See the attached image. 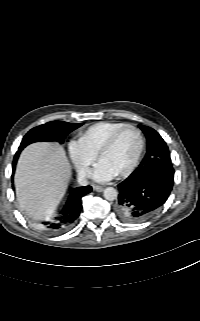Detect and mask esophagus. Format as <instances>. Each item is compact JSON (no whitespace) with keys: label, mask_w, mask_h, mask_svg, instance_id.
<instances>
[{"label":"esophagus","mask_w":200,"mask_h":321,"mask_svg":"<svg viewBox=\"0 0 200 321\" xmlns=\"http://www.w3.org/2000/svg\"><path fill=\"white\" fill-rule=\"evenodd\" d=\"M93 190L96 192H102L104 188L102 186L93 185Z\"/></svg>","instance_id":"esophagus-1"}]
</instances>
